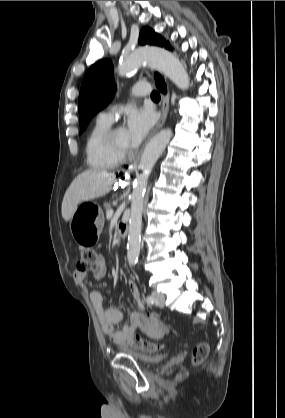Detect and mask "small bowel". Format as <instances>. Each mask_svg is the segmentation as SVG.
Masks as SVG:
<instances>
[{
    "label": "small bowel",
    "mask_w": 285,
    "mask_h": 418,
    "mask_svg": "<svg viewBox=\"0 0 285 418\" xmlns=\"http://www.w3.org/2000/svg\"><path fill=\"white\" fill-rule=\"evenodd\" d=\"M107 274V266L104 258L99 256L96 262L94 277L102 280ZM86 275L81 272L74 273V280L83 283ZM128 288L133 299L142 306L140 292L136 282L129 281ZM90 301L98 317L101 329L111 342L116 345H128L131 335L135 330L141 331L146 336L152 338H162L168 333V326L160 319L139 311H130L128 313V322H123V313L115 307H104L103 296L98 290L90 292Z\"/></svg>",
    "instance_id": "small-bowel-1"
}]
</instances>
